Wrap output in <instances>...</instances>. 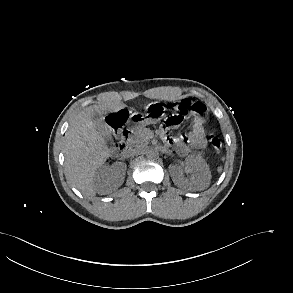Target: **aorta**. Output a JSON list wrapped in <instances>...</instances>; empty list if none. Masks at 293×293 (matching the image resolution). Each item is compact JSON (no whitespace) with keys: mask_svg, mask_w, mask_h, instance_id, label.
Segmentation results:
<instances>
[{"mask_svg":"<svg viewBox=\"0 0 293 293\" xmlns=\"http://www.w3.org/2000/svg\"><path fill=\"white\" fill-rule=\"evenodd\" d=\"M146 156L148 159L155 160L159 157V152L155 148H150L149 150H147Z\"/></svg>","mask_w":293,"mask_h":293,"instance_id":"762f6f07","label":"aorta"}]
</instances>
